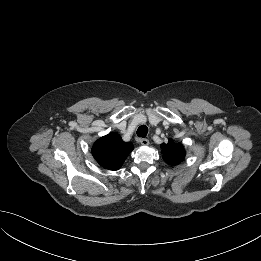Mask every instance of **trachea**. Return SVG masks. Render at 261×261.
<instances>
[{"mask_svg": "<svg viewBox=\"0 0 261 261\" xmlns=\"http://www.w3.org/2000/svg\"><path fill=\"white\" fill-rule=\"evenodd\" d=\"M137 136L139 137H146L147 133H148V128L146 125H141L138 129H137Z\"/></svg>", "mask_w": 261, "mask_h": 261, "instance_id": "obj_1", "label": "trachea"}]
</instances>
